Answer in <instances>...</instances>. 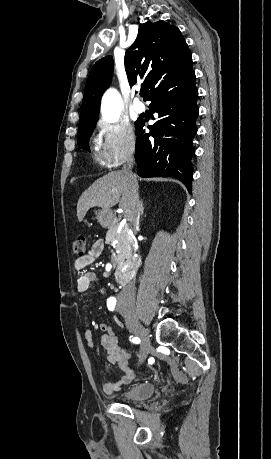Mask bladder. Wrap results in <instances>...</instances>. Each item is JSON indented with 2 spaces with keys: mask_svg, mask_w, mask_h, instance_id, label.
Listing matches in <instances>:
<instances>
[{
  "mask_svg": "<svg viewBox=\"0 0 271 459\" xmlns=\"http://www.w3.org/2000/svg\"><path fill=\"white\" fill-rule=\"evenodd\" d=\"M155 393V386L150 382L137 383L127 389L123 395L124 404H135Z\"/></svg>",
  "mask_w": 271,
  "mask_h": 459,
  "instance_id": "obj_1",
  "label": "bladder"
}]
</instances>
